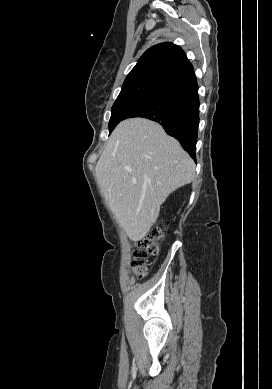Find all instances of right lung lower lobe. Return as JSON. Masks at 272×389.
I'll return each mask as SVG.
<instances>
[{"label": "right lung lower lobe", "mask_w": 272, "mask_h": 389, "mask_svg": "<svg viewBox=\"0 0 272 389\" xmlns=\"http://www.w3.org/2000/svg\"><path fill=\"white\" fill-rule=\"evenodd\" d=\"M199 104L198 85L193 72L163 86L132 108L124 119L143 117L158 122L196 160Z\"/></svg>", "instance_id": "right-lung-lower-lobe-1"}]
</instances>
